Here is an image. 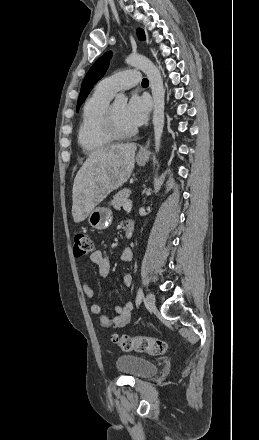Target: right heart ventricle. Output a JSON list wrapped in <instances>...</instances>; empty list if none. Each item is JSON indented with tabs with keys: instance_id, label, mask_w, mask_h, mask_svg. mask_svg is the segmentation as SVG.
<instances>
[{
	"instance_id": "obj_1",
	"label": "right heart ventricle",
	"mask_w": 259,
	"mask_h": 440,
	"mask_svg": "<svg viewBox=\"0 0 259 440\" xmlns=\"http://www.w3.org/2000/svg\"><path fill=\"white\" fill-rule=\"evenodd\" d=\"M112 95L95 89L85 101L77 130V141L85 153H94L112 144L104 130V118Z\"/></svg>"
}]
</instances>
